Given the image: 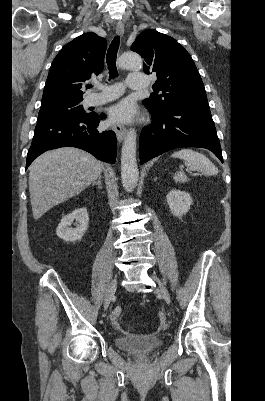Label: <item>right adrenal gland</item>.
<instances>
[{
	"label": "right adrenal gland",
	"instance_id": "1",
	"mask_svg": "<svg viewBox=\"0 0 265 401\" xmlns=\"http://www.w3.org/2000/svg\"><path fill=\"white\" fill-rule=\"evenodd\" d=\"M101 180L102 176H98L96 182H92V186H94V184H97L98 188H103Z\"/></svg>",
	"mask_w": 265,
	"mask_h": 401
}]
</instances>
